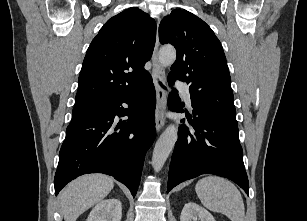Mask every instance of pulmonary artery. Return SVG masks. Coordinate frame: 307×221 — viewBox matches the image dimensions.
<instances>
[{"mask_svg": "<svg viewBox=\"0 0 307 221\" xmlns=\"http://www.w3.org/2000/svg\"><path fill=\"white\" fill-rule=\"evenodd\" d=\"M177 87L181 91V93H182V95H183L187 105L189 107H191L192 106V102H191V95H190L189 87L185 83H178Z\"/></svg>", "mask_w": 307, "mask_h": 221, "instance_id": "1", "label": "pulmonary artery"}]
</instances>
